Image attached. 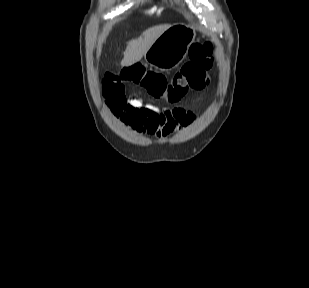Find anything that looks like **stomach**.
Listing matches in <instances>:
<instances>
[{
	"instance_id": "stomach-1",
	"label": "stomach",
	"mask_w": 309,
	"mask_h": 288,
	"mask_svg": "<svg viewBox=\"0 0 309 288\" xmlns=\"http://www.w3.org/2000/svg\"><path fill=\"white\" fill-rule=\"evenodd\" d=\"M195 36V30L188 25H172L154 41L144 59L158 70H171L186 57Z\"/></svg>"
}]
</instances>
